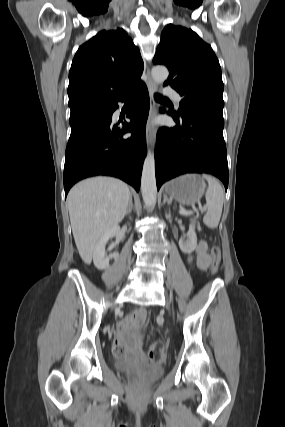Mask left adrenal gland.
<instances>
[{
    "label": "left adrenal gland",
    "instance_id": "left-adrenal-gland-1",
    "mask_svg": "<svg viewBox=\"0 0 285 427\" xmlns=\"http://www.w3.org/2000/svg\"><path fill=\"white\" fill-rule=\"evenodd\" d=\"M163 203H164V204H165V203H167L169 206H170V205H172L171 200H169V199L167 198V195H166V194L164 195Z\"/></svg>",
    "mask_w": 285,
    "mask_h": 427
}]
</instances>
